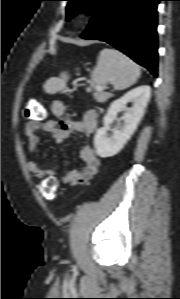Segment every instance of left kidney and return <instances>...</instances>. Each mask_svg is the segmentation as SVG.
<instances>
[{"label":"left kidney","instance_id":"left-kidney-1","mask_svg":"<svg viewBox=\"0 0 180 299\" xmlns=\"http://www.w3.org/2000/svg\"><path fill=\"white\" fill-rule=\"evenodd\" d=\"M150 92L149 86H140L111 103L103 118V127L97 130L94 137L98 156L102 158L114 156L124 147L144 115L150 99ZM128 103H132V107L127 108ZM121 111H125V113L120 119H117V114ZM115 120L123 121V124L112 131V136H108L110 125Z\"/></svg>","mask_w":180,"mask_h":299}]
</instances>
